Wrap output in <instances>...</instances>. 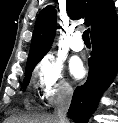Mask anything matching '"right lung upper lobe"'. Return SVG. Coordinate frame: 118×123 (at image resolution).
Returning <instances> with one entry per match:
<instances>
[{"instance_id": "cb5924a9", "label": "right lung upper lobe", "mask_w": 118, "mask_h": 123, "mask_svg": "<svg viewBox=\"0 0 118 123\" xmlns=\"http://www.w3.org/2000/svg\"><path fill=\"white\" fill-rule=\"evenodd\" d=\"M66 9L70 18L86 19L85 24L91 27V39L107 33L118 23L112 0H67ZM56 28V11L49 5L36 19L26 70L35 66L49 51Z\"/></svg>"}]
</instances>
